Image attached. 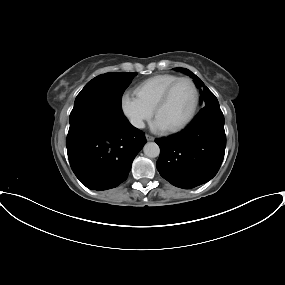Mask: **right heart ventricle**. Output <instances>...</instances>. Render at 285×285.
<instances>
[{
    "label": "right heart ventricle",
    "instance_id": "e07e8e85",
    "mask_svg": "<svg viewBox=\"0 0 285 285\" xmlns=\"http://www.w3.org/2000/svg\"><path fill=\"white\" fill-rule=\"evenodd\" d=\"M178 78V75L169 73L152 76L139 83L135 87V93L143 103L154 109L166 88Z\"/></svg>",
    "mask_w": 285,
    "mask_h": 285
}]
</instances>
